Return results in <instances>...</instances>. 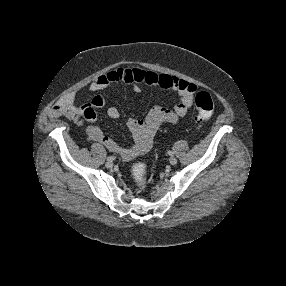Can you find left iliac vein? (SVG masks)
Listing matches in <instances>:
<instances>
[{
    "label": "left iliac vein",
    "mask_w": 286,
    "mask_h": 286,
    "mask_svg": "<svg viewBox=\"0 0 286 286\" xmlns=\"http://www.w3.org/2000/svg\"><path fill=\"white\" fill-rule=\"evenodd\" d=\"M170 164L175 165L177 163V159L175 157H171L169 159Z\"/></svg>",
    "instance_id": "obj_1"
}]
</instances>
